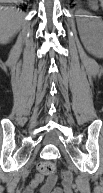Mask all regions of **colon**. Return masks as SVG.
Instances as JSON below:
<instances>
[{
	"label": "colon",
	"mask_w": 103,
	"mask_h": 193,
	"mask_svg": "<svg viewBox=\"0 0 103 193\" xmlns=\"http://www.w3.org/2000/svg\"><path fill=\"white\" fill-rule=\"evenodd\" d=\"M38 171L41 175L51 176L55 172V165L50 161H44L38 165ZM63 177L69 176L67 172L62 174Z\"/></svg>",
	"instance_id": "1"
}]
</instances>
